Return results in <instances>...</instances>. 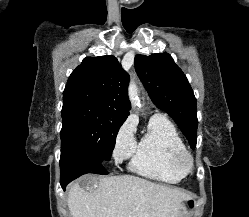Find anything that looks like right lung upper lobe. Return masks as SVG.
Listing matches in <instances>:
<instances>
[{
  "mask_svg": "<svg viewBox=\"0 0 249 217\" xmlns=\"http://www.w3.org/2000/svg\"><path fill=\"white\" fill-rule=\"evenodd\" d=\"M128 82V74L114 56L86 57L70 75L63 100L89 101L127 117Z\"/></svg>",
  "mask_w": 249,
  "mask_h": 217,
  "instance_id": "cb5924a9",
  "label": "right lung upper lobe"
}]
</instances>
